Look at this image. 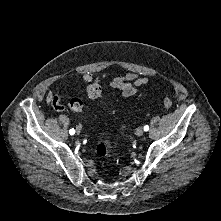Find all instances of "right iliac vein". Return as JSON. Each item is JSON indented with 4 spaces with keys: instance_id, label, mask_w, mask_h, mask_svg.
Wrapping results in <instances>:
<instances>
[{
    "instance_id": "63e3f726",
    "label": "right iliac vein",
    "mask_w": 221,
    "mask_h": 221,
    "mask_svg": "<svg viewBox=\"0 0 221 221\" xmlns=\"http://www.w3.org/2000/svg\"><path fill=\"white\" fill-rule=\"evenodd\" d=\"M80 132H81V128H80L79 126H77V127H76V133H77V134H80Z\"/></svg>"
}]
</instances>
